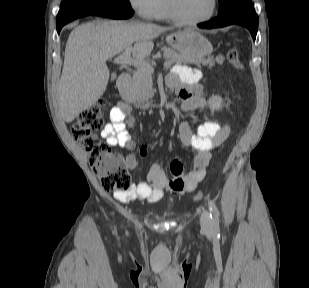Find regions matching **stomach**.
<instances>
[{
  "label": "stomach",
  "mask_w": 309,
  "mask_h": 288,
  "mask_svg": "<svg viewBox=\"0 0 309 288\" xmlns=\"http://www.w3.org/2000/svg\"><path fill=\"white\" fill-rule=\"evenodd\" d=\"M166 40L169 46L190 57L209 56L213 51L209 40L200 32L191 29L171 33Z\"/></svg>",
  "instance_id": "stomach-1"
}]
</instances>
